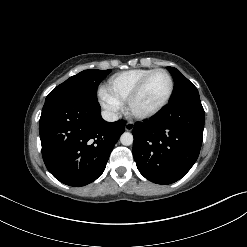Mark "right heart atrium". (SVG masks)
Wrapping results in <instances>:
<instances>
[{
	"label": "right heart atrium",
	"mask_w": 247,
	"mask_h": 247,
	"mask_svg": "<svg viewBox=\"0 0 247 247\" xmlns=\"http://www.w3.org/2000/svg\"><path fill=\"white\" fill-rule=\"evenodd\" d=\"M101 105L111 114H117L122 109V103L114 98L107 90L101 89L99 92Z\"/></svg>",
	"instance_id": "obj_1"
}]
</instances>
